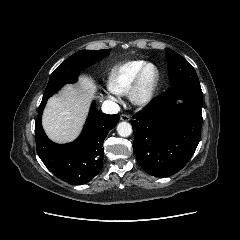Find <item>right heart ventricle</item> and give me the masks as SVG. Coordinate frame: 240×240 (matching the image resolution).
Here are the masks:
<instances>
[{
  "instance_id": "obj_1",
  "label": "right heart ventricle",
  "mask_w": 240,
  "mask_h": 240,
  "mask_svg": "<svg viewBox=\"0 0 240 240\" xmlns=\"http://www.w3.org/2000/svg\"><path fill=\"white\" fill-rule=\"evenodd\" d=\"M144 64L143 60H132L113 67L108 78L109 89L116 94H126Z\"/></svg>"
}]
</instances>
